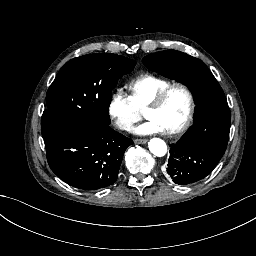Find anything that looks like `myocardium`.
Returning a JSON list of instances; mask_svg holds the SVG:
<instances>
[{
    "label": "myocardium",
    "mask_w": 256,
    "mask_h": 256,
    "mask_svg": "<svg viewBox=\"0 0 256 256\" xmlns=\"http://www.w3.org/2000/svg\"><path fill=\"white\" fill-rule=\"evenodd\" d=\"M178 87L180 88L187 96L188 98V102H189V107H188V112L186 114V116L181 120V122L176 125L175 127H173L170 130V134H176L179 132H182L184 129H186V127L188 126L189 122L191 121L193 114H194V100H193V96L190 92V90L187 88V86L181 82L178 81L176 83V85L167 88L159 97L156 101H154L147 109H146V116L151 117V111L156 110L158 108H161L163 106V104L165 103L166 99L168 98L170 92L172 91L173 88Z\"/></svg>",
    "instance_id": "1"
}]
</instances>
